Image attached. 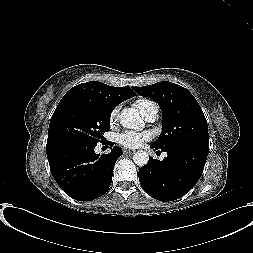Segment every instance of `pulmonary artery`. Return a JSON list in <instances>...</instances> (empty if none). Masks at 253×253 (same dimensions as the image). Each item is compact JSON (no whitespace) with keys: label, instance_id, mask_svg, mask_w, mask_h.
Here are the masks:
<instances>
[{"label":"pulmonary artery","instance_id":"1","mask_svg":"<svg viewBox=\"0 0 253 253\" xmlns=\"http://www.w3.org/2000/svg\"><path fill=\"white\" fill-rule=\"evenodd\" d=\"M158 112H159L158 105L153 101H149L146 104V107L144 108L142 115L147 121L153 122L158 118Z\"/></svg>","mask_w":253,"mask_h":253}]
</instances>
